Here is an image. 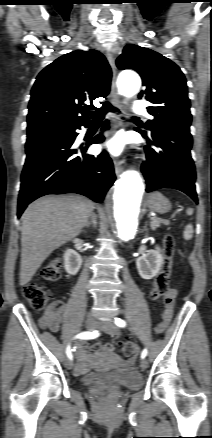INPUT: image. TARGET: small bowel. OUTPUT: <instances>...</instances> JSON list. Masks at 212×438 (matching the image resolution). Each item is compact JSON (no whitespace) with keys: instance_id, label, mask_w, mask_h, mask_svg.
<instances>
[{"instance_id":"obj_1","label":"small bowel","mask_w":212,"mask_h":438,"mask_svg":"<svg viewBox=\"0 0 212 438\" xmlns=\"http://www.w3.org/2000/svg\"><path fill=\"white\" fill-rule=\"evenodd\" d=\"M176 297L177 291L173 288H170L168 292L163 296V309L161 313V319L155 326V331L157 333H162L168 327L173 316ZM63 312L64 304L61 301L52 302L47 307L45 313L41 318L42 326L44 328H47L51 332H57L61 324ZM102 350L111 351L113 350V345L106 344L104 346H101L100 344H94L90 348V355H87L86 345L84 343H80L77 349V357L79 359V363L74 369V374L82 375L86 373L91 365L90 358L97 355Z\"/></svg>"}]
</instances>
